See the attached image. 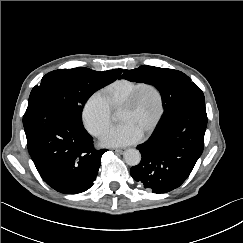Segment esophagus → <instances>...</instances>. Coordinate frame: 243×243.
Listing matches in <instances>:
<instances>
[{
    "instance_id": "obj_1",
    "label": "esophagus",
    "mask_w": 243,
    "mask_h": 243,
    "mask_svg": "<svg viewBox=\"0 0 243 243\" xmlns=\"http://www.w3.org/2000/svg\"><path fill=\"white\" fill-rule=\"evenodd\" d=\"M114 152L119 153V154H123L125 152L124 148H117V149H113Z\"/></svg>"
}]
</instances>
